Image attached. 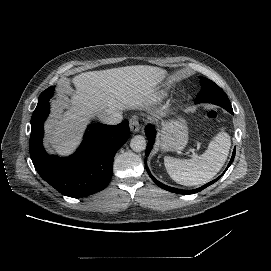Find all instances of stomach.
I'll return each mask as SVG.
<instances>
[{"instance_id":"1","label":"stomach","mask_w":271,"mask_h":271,"mask_svg":"<svg viewBox=\"0 0 271 271\" xmlns=\"http://www.w3.org/2000/svg\"><path fill=\"white\" fill-rule=\"evenodd\" d=\"M188 142V127L185 120L162 122L159 146L166 151H181Z\"/></svg>"}]
</instances>
